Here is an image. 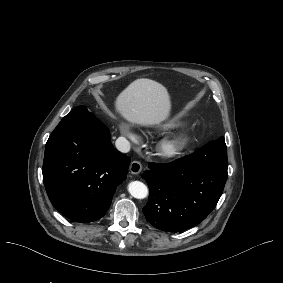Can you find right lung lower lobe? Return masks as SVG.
<instances>
[{
  "label": "right lung lower lobe",
  "instance_id": "1",
  "mask_svg": "<svg viewBox=\"0 0 283 283\" xmlns=\"http://www.w3.org/2000/svg\"><path fill=\"white\" fill-rule=\"evenodd\" d=\"M129 163L130 158L113 147L102 122L61 121L45 146L43 181L61 214L89 223L105 215Z\"/></svg>",
  "mask_w": 283,
  "mask_h": 283
}]
</instances>
